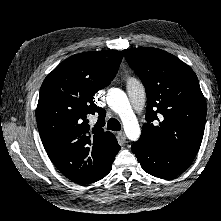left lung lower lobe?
Listing matches in <instances>:
<instances>
[{"mask_svg": "<svg viewBox=\"0 0 221 221\" xmlns=\"http://www.w3.org/2000/svg\"><path fill=\"white\" fill-rule=\"evenodd\" d=\"M131 150L144 171L163 179H170L181 174L193 161L166 148L142 147L136 145L135 142Z\"/></svg>", "mask_w": 221, "mask_h": 221, "instance_id": "0a47b994", "label": "left lung lower lobe"}]
</instances>
